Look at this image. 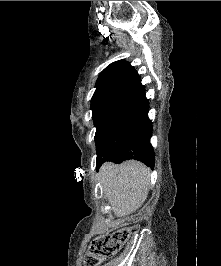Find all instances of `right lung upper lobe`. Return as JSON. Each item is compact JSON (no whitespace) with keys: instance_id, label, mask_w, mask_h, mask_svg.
<instances>
[{"instance_id":"obj_1","label":"right lung upper lobe","mask_w":221,"mask_h":266,"mask_svg":"<svg viewBox=\"0 0 221 266\" xmlns=\"http://www.w3.org/2000/svg\"><path fill=\"white\" fill-rule=\"evenodd\" d=\"M121 86L144 88L137 71L125 60L113 62L102 71L96 82V91Z\"/></svg>"}]
</instances>
